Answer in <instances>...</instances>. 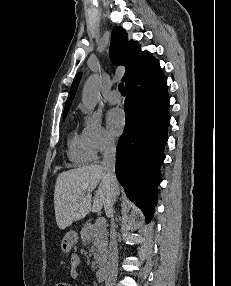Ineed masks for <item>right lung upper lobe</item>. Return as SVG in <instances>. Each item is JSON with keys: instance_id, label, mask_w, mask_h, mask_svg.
<instances>
[{"instance_id": "cb5924a9", "label": "right lung upper lobe", "mask_w": 231, "mask_h": 286, "mask_svg": "<svg viewBox=\"0 0 231 286\" xmlns=\"http://www.w3.org/2000/svg\"><path fill=\"white\" fill-rule=\"evenodd\" d=\"M110 57L115 65L125 66V74L122 78L125 85L160 68L159 62L149 52H142L137 42L132 40L128 42L127 33L119 26H116L112 31ZM80 78V73L74 78L65 103L64 115L68 112L74 99Z\"/></svg>"}]
</instances>
